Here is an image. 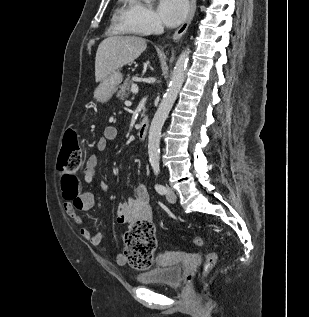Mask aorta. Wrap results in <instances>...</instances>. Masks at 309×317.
<instances>
[{"mask_svg":"<svg viewBox=\"0 0 309 317\" xmlns=\"http://www.w3.org/2000/svg\"><path fill=\"white\" fill-rule=\"evenodd\" d=\"M144 1L149 2V0ZM188 61L189 50H185L176 61L168 89L151 122L148 136V155L149 162L153 167L159 165L161 130L184 83Z\"/></svg>","mask_w":309,"mask_h":317,"instance_id":"1","label":"aorta"}]
</instances>
